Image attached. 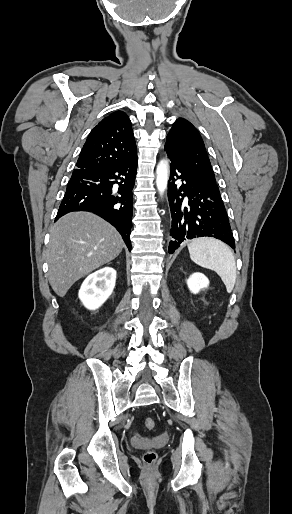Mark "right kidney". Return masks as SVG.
<instances>
[{
  "label": "right kidney",
  "instance_id": "right-kidney-1",
  "mask_svg": "<svg viewBox=\"0 0 292 514\" xmlns=\"http://www.w3.org/2000/svg\"><path fill=\"white\" fill-rule=\"evenodd\" d=\"M115 282L116 270L114 268H102V270H97L84 280L78 296L86 308L97 310L111 296Z\"/></svg>",
  "mask_w": 292,
  "mask_h": 514
}]
</instances>
